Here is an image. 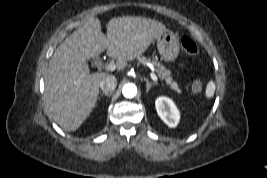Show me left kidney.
I'll list each match as a JSON object with an SVG mask.
<instances>
[{
	"label": "left kidney",
	"instance_id": "left-kidney-1",
	"mask_svg": "<svg viewBox=\"0 0 267 178\" xmlns=\"http://www.w3.org/2000/svg\"><path fill=\"white\" fill-rule=\"evenodd\" d=\"M155 107L159 117L169 127H176L180 120V113L172 99L161 96L155 101Z\"/></svg>",
	"mask_w": 267,
	"mask_h": 178
}]
</instances>
